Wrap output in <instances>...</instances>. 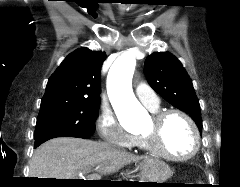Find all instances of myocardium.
Segmentation results:
<instances>
[{"mask_svg": "<svg viewBox=\"0 0 240 187\" xmlns=\"http://www.w3.org/2000/svg\"><path fill=\"white\" fill-rule=\"evenodd\" d=\"M170 115H178L187 123L188 127L191 130V133L193 135L194 144L192 149L185 155H173L168 152H165L163 150H160L156 144V138L152 134H141L140 138L143 141L144 148L146 151H148L150 154L167 159L172 161H186L191 158H193L199 151L200 145H201V138L199 130L193 121V119L184 111H181L179 109H168L163 111L156 112L152 119L156 125H160L168 116Z\"/></svg>", "mask_w": 240, "mask_h": 187, "instance_id": "myocardium-1", "label": "myocardium"}]
</instances>
